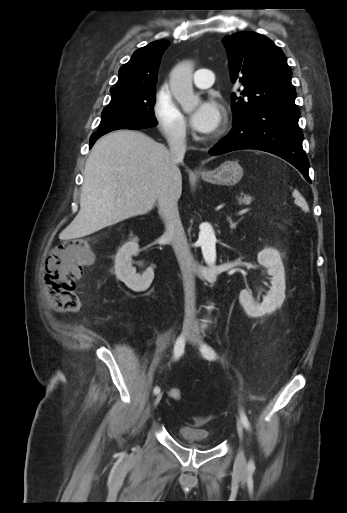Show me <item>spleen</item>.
Returning <instances> with one entry per match:
<instances>
[{"label":"spleen","instance_id":"spleen-1","mask_svg":"<svg viewBox=\"0 0 347 513\" xmlns=\"http://www.w3.org/2000/svg\"><path fill=\"white\" fill-rule=\"evenodd\" d=\"M292 196L295 198V204L300 206L301 209L305 212L309 211L308 204L306 200L303 198V196L300 194V192L297 189H294L292 192Z\"/></svg>","mask_w":347,"mask_h":513}]
</instances>
